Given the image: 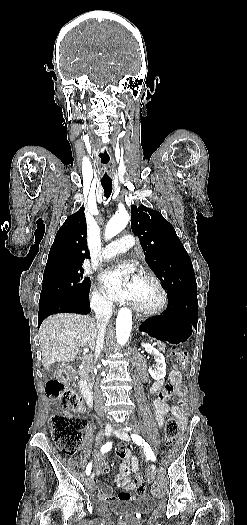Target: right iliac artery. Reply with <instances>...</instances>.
I'll list each match as a JSON object with an SVG mask.
<instances>
[{"label":"right iliac artery","mask_w":247,"mask_h":525,"mask_svg":"<svg viewBox=\"0 0 247 525\" xmlns=\"http://www.w3.org/2000/svg\"><path fill=\"white\" fill-rule=\"evenodd\" d=\"M112 448V442H107L105 445L101 447V452L106 453ZM92 469V463L90 462L86 467V474L89 475L91 473Z\"/></svg>","instance_id":"right-iliac-artery-1"}]
</instances>
